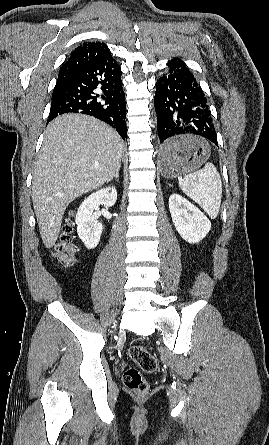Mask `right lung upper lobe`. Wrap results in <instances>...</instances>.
<instances>
[{
  "label": "right lung upper lobe",
  "instance_id": "right-lung-upper-lobe-1",
  "mask_svg": "<svg viewBox=\"0 0 269 445\" xmlns=\"http://www.w3.org/2000/svg\"><path fill=\"white\" fill-rule=\"evenodd\" d=\"M111 57V53L104 43L89 42L78 46L69 59L61 67L56 85L62 84L78 70Z\"/></svg>",
  "mask_w": 269,
  "mask_h": 445
}]
</instances>
